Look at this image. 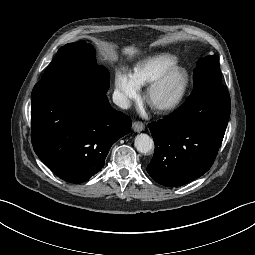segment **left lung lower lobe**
<instances>
[{
    "label": "left lung lower lobe",
    "instance_id": "0a47b994",
    "mask_svg": "<svg viewBox=\"0 0 255 255\" xmlns=\"http://www.w3.org/2000/svg\"><path fill=\"white\" fill-rule=\"evenodd\" d=\"M230 110L229 93L220 79L209 76L196 83L178 111L149 124L155 142L149 175L161 185L175 187L207 172L222 143Z\"/></svg>",
    "mask_w": 255,
    "mask_h": 255
}]
</instances>
